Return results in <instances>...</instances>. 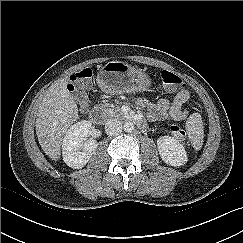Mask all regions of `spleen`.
<instances>
[{"mask_svg":"<svg viewBox=\"0 0 243 243\" xmlns=\"http://www.w3.org/2000/svg\"><path fill=\"white\" fill-rule=\"evenodd\" d=\"M186 130L188 132V137L190 138L192 145L196 149H200L203 144V123L202 118L199 113H193L189 116L186 122Z\"/></svg>","mask_w":243,"mask_h":243,"instance_id":"spleen-1","label":"spleen"}]
</instances>
